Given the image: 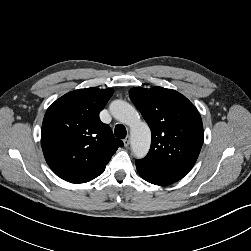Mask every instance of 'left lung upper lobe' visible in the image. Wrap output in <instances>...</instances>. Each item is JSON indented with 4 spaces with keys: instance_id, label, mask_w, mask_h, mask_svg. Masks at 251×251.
Returning <instances> with one entry per match:
<instances>
[{
    "instance_id": "5c2ea615",
    "label": "left lung upper lobe",
    "mask_w": 251,
    "mask_h": 251,
    "mask_svg": "<svg viewBox=\"0 0 251 251\" xmlns=\"http://www.w3.org/2000/svg\"><path fill=\"white\" fill-rule=\"evenodd\" d=\"M129 96L152 133L147 156L137 161L188 173L204 139L202 120L195 106L179 92L162 87L132 88Z\"/></svg>"
}]
</instances>
